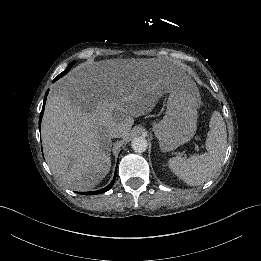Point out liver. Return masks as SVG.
Returning a JSON list of instances; mask_svg holds the SVG:
<instances>
[{"instance_id":"6515ba94","label":"liver","mask_w":261,"mask_h":261,"mask_svg":"<svg viewBox=\"0 0 261 261\" xmlns=\"http://www.w3.org/2000/svg\"><path fill=\"white\" fill-rule=\"evenodd\" d=\"M193 85L185 71L167 75L141 63L73 69L51 90L42 121L45 157L53 174L73 190L94 188L111 168L108 131L118 127L120 137H128L133 117L149 114L172 90Z\"/></svg>"}]
</instances>
